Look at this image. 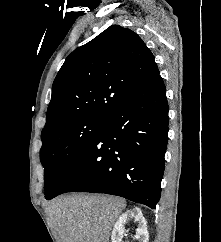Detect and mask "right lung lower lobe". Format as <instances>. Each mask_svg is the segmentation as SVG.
<instances>
[{"instance_id":"1","label":"right lung lower lobe","mask_w":221,"mask_h":242,"mask_svg":"<svg viewBox=\"0 0 221 242\" xmlns=\"http://www.w3.org/2000/svg\"><path fill=\"white\" fill-rule=\"evenodd\" d=\"M103 119L66 167L48 200L66 192H96L155 209L161 195L169 121L161 76Z\"/></svg>"}]
</instances>
